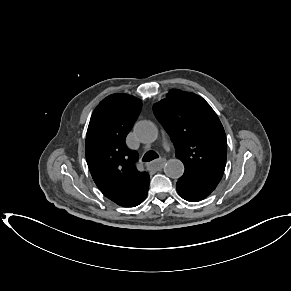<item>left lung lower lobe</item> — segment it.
I'll return each mask as SVG.
<instances>
[{"mask_svg":"<svg viewBox=\"0 0 291 291\" xmlns=\"http://www.w3.org/2000/svg\"><path fill=\"white\" fill-rule=\"evenodd\" d=\"M176 189H177L178 194L183 199H185L189 202H198V201H201L205 198L204 196L190 193V192L186 191L185 189L181 188L180 186H178L177 184H176Z\"/></svg>","mask_w":291,"mask_h":291,"instance_id":"1","label":"left lung lower lobe"}]
</instances>
